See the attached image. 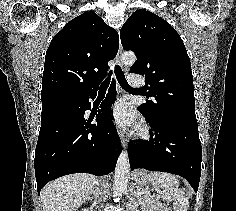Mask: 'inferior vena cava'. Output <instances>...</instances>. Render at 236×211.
<instances>
[{
  "instance_id": "1",
  "label": "inferior vena cava",
  "mask_w": 236,
  "mask_h": 211,
  "mask_svg": "<svg viewBox=\"0 0 236 211\" xmlns=\"http://www.w3.org/2000/svg\"><path fill=\"white\" fill-rule=\"evenodd\" d=\"M94 194H95V198H97L98 197V187L96 188Z\"/></svg>"
}]
</instances>
